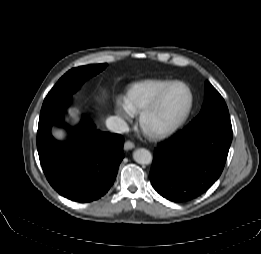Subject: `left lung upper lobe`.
<instances>
[{
  "label": "left lung upper lobe",
  "mask_w": 261,
  "mask_h": 254,
  "mask_svg": "<svg viewBox=\"0 0 261 254\" xmlns=\"http://www.w3.org/2000/svg\"><path fill=\"white\" fill-rule=\"evenodd\" d=\"M207 123H231L224 99L208 81L205 83V101L202 109L186 127L198 128Z\"/></svg>",
  "instance_id": "1"
}]
</instances>
